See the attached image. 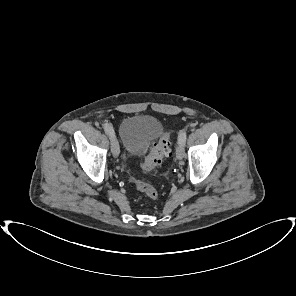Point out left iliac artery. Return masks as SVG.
<instances>
[{"instance_id":"left-iliac-artery-1","label":"left iliac artery","mask_w":296,"mask_h":296,"mask_svg":"<svg viewBox=\"0 0 296 296\" xmlns=\"http://www.w3.org/2000/svg\"><path fill=\"white\" fill-rule=\"evenodd\" d=\"M186 138H187L186 131L182 130V131L179 133V136H178V142H182V143L185 144Z\"/></svg>"}]
</instances>
